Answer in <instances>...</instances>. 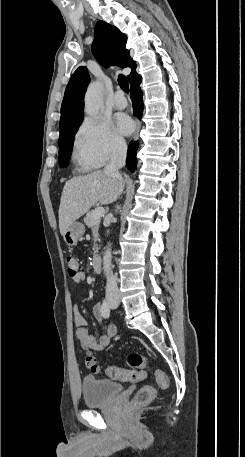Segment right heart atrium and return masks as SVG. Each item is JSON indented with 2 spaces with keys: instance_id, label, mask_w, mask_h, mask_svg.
<instances>
[{
  "instance_id": "obj_1",
  "label": "right heart atrium",
  "mask_w": 245,
  "mask_h": 457,
  "mask_svg": "<svg viewBox=\"0 0 245 457\" xmlns=\"http://www.w3.org/2000/svg\"><path fill=\"white\" fill-rule=\"evenodd\" d=\"M77 144L96 163L103 164L125 149L124 139L102 118L85 117L78 129Z\"/></svg>"
}]
</instances>
